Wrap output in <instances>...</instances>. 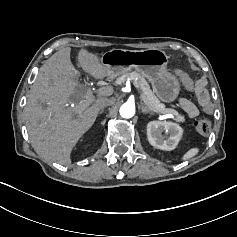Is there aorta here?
<instances>
[{"label": "aorta", "instance_id": "762f6f07", "mask_svg": "<svg viewBox=\"0 0 237 237\" xmlns=\"http://www.w3.org/2000/svg\"><path fill=\"white\" fill-rule=\"evenodd\" d=\"M119 112H120L121 117L127 118V119L131 118L135 114V106L133 104L126 102L120 107Z\"/></svg>", "mask_w": 237, "mask_h": 237}]
</instances>
